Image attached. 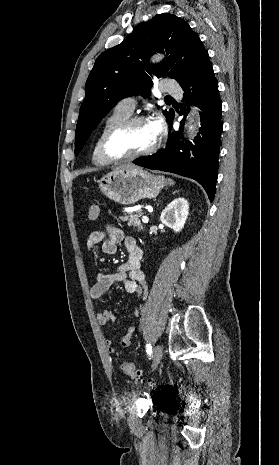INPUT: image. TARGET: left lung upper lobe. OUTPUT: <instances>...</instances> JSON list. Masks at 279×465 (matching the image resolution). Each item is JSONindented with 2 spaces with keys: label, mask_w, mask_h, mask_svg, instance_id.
I'll return each mask as SVG.
<instances>
[{
  "label": "left lung upper lobe",
  "mask_w": 279,
  "mask_h": 465,
  "mask_svg": "<svg viewBox=\"0 0 279 465\" xmlns=\"http://www.w3.org/2000/svg\"><path fill=\"white\" fill-rule=\"evenodd\" d=\"M170 54L161 63L149 65L155 52ZM207 52L197 33L183 19L169 13L140 23L119 45L103 52L95 61L85 85L86 96L76 125L77 155L100 120L121 99L149 97L151 76L174 78L180 84L194 72ZM169 123L174 111H163Z\"/></svg>",
  "instance_id": "1"
}]
</instances>
